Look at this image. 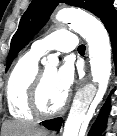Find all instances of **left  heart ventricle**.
I'll list each match as a JSON object with an SVG mask.
<instances>
[{
    "mask_svg": "<svg viewBox=\"0 0 117 136\" xmlns=\"http://www.w3.org/2000/svg\"><path fill=\"white\" fill-rule=\"evenodd\" d=\"M43 72L44 81L40 92V103L44 110L52 111L62 104L66 95L56 84V69L47 68Z\"/></svg>",
    "mask_w": 117,
    "mask_h": 136,
    "instance_id": "1",
    "label": "left heart ventricle"
}]
</instances>
